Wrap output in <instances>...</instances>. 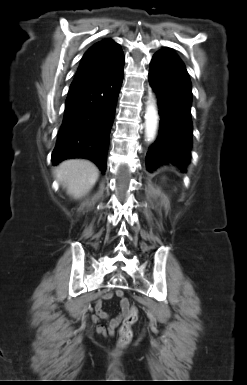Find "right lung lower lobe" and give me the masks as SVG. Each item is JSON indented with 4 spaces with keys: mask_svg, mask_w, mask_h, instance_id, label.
<instances>
[{
    "mask_svg": "<svg viewBox=\"0 0 247 385\" xmlns=\"http://www.w3.org/2000/svg\"><path fill=\"white\" fill-rule=\"evenodd\" d=\"M123 67L124 63L115 71L70 86L64 119L52 152L55 165L68 158H88L105 172Z\"/></svg>",
    "mask_w": 247,
    "mask_h": 385,
    "instance_id": "1",
    "label": "right lung lower lobe"
}]
</instances>
